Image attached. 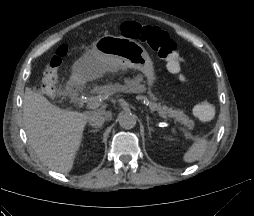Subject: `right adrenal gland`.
<instances>
[{"instance_id":"2a0ac1e0","label":"right adrenal gland","mask_w":254,"mask_h":216,"mask_svg":"<svg viewBox=\"0 0 254 216\" xmlns=\"http://www.w3.org/2000/svg\"><path fill=\"white\" fill-rule=\"evenodd\" d=\"M91 132L96 133V132H98V129H93V130H91Z\"/></svg>"}]
</instances>
